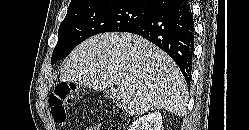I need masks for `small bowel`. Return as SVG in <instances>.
<instances>
[{
  "mask_svg": "<svg viewBox=\"0 0 249 130\" xmlns=\"http://www.w3.org/2000/svg\"><path fill=\"white\" fill-rule=\"evenodd\" d=\"M83 130H102L101 125H90L86 126Z\"/></svg>",
  "mask_w": 249,
  "mask_h": 130,
  "instance_id": "obj_1",
  "label": "small bowel"
}]
</instances>
